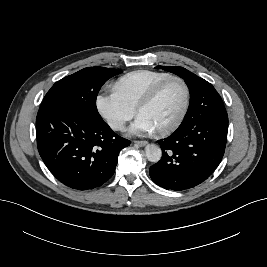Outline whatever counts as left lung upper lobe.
<instances>
[{
    "mask_svg": "<svg viewBox=\"0 0 267 267\" xmlns=\"http://www.w3.org/2000/svg\"><path fill=\"white\" fill-rule=\"evenodd\" d=\"M158 67L183 78L190 90L191 98L189 109L179 127L194 120L197 108L201 106H209L220 114H227L220 95L209 82L182 67Z\"/></svg>",
    "mask_w": 267,
    "mask_h": 267,
    "instance_id": "left-lung-upper-lobe-1",
    "label": "left lung upper lobe"
}]
</instances>
